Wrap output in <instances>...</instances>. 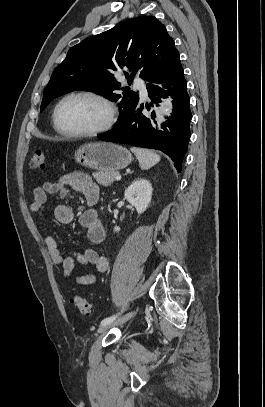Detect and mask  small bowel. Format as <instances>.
Masks as SVG:
<instances>
[{
	"label": "small bowel",
	"instance_id": "obj_1",
	"mask_svg": "<svg viewBox=\"0 0 265 407\" xmlns=\"http://www.w3.org/2000/svg\"><path fill=\"white\" fill-rule=\"evenodd\" d=\"M70 190L80 192L85 197L88 205H93L99 197L98 185L85 173L72 172L62 176L57 181H45L37 185L33 190L34 200L30 205L33 220L38 229L42 228L44 210L53 199H62ZM54 216L59 223L68 224L73 220V210L66 204L59 203L54 209ZM80 224L86 229L88 241L93 245H100L105 240V229L93 208L86 209L80 216ZM45 244L52 261L62 268L63 276L68 278L72 275L75 264L93 266L97 272H105L108 268V259L93 248H85L82 252L71 251L63 257L54 237H45ZM81 285L94 283L92 274H83L76 277Z\"/></svg>",
	"mask_w": 265,
	"mask_h": 407
}]
</instances>
